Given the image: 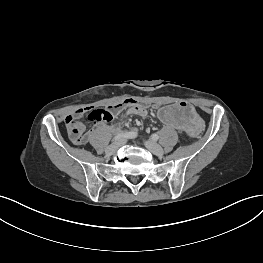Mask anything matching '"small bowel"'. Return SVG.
Segmentation results:
<instances>
[{
    "label": "small bowel",
    "mask_w": 263,
    "mask_h": 263,
    "mask_svg": "<svg viewBox=\"0 0 263 263\" xmlns=\"http://www.w3.org/2000/svg\"><path fill=\"white\" fill-rule=\"evenodd\" d=\"M90 110H92L90 107H83V108L78 109L74 113V115L77 118H80L86 112H89ZM123 110H126V113L128 115H135V116H139V117H145L147 115V113H148L147 109L144 106L140 105V104H127V105L119 107L117 109V111L115 112L114 117L119 115ZM110 121H104L105 125H108L110 123Z\"/></svg>",
    "instance_id": "obj_1"
}]
</instances>
